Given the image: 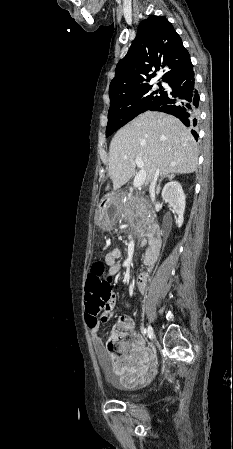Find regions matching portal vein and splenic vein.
<instances>
[{
    "label": "portal vein and splenic vein",
    "mask_w": 233,
    "mask_h": 449,
    "mask_svg": "<svg viewBox=\"0 0 233 449\" xmlns=\"http://www.w3.org/2000/svg\"><path fill=\"white\" fill-rule=\"evenodd\" d=\"M135 163L140 168V171L136 174L134 178L133 186L135 188H138L141 187L145 182L146 171L144 170V162L140 157L135 158Z\"/></svg>",
    "instance_id": "18ae733b"
}]
</instances>
